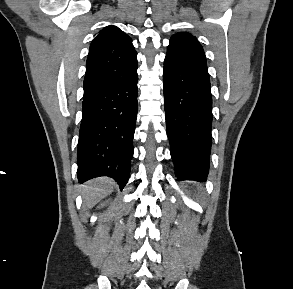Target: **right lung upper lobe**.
I'll return each instance as SVG.
<instances>
[{
    "label": "right lung upper lobe",
    "instance_id": "obj_1",
    "mask_svg": "<svg viewBox=\"0 0 293 289\" xmlns=\"http://www.w3.org/2000/svg\"><path fill=\"white\" fill-rule=\"evenodd\" d=\"M137 68L131 38L116 26L103 28L90 45L83 98L131 80Z\"/></svg>",
    "mask_w": 293,
    "mask_h": 289
}]
</instances>
